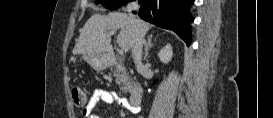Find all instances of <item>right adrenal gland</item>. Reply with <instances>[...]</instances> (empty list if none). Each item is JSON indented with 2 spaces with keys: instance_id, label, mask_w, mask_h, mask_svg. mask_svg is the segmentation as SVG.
I'll list each match as a JSON object with an SVG mask.
<instances>
[{
  "instance_id": "2a0ac1e0",
  "label": "right adrenal gland",
  "mask_w": 273,
  "mask_h": 118,
  "mask_svg": "<svg viewBox=\"0 0 273 118\" xmlns=\"http://www.w3.org/2000/svg\"><path fill=\"white\" fill-rule=\"evenodd\" d=\"M152 34H150L148 36V41L146 43V47H145V56H144V59L146 60L148 58V52H149V48H151L153 46L152 44Z\"/></svg>"
}]
</instances>
